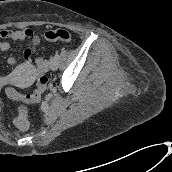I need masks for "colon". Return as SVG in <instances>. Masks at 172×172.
<instances>
[{
  "instance_id": "colon-1",
  "label": "colon",
  "mask_w": 172,
  "mask_h": 172,
  "mask_svg": "<svg viewBox=\"0 0 172 172\" xmlns=\"http://www.w3.org/2000/svg\"><path fill=\"white\" fill-rule=\"evenodd\" d=\"M44 37L48 41L60 40L68 42L71 40L70 32L62 28L46 31L44 33ZM36 65L39 70V75L36 81V89L33 93L24 95L14 88L8 87L6 89V93L11 99L22 102L15 109L14 122L16 123L18 128L23 131L29 128V120L27 115L30 109L28 104L36 103L40 100L48 82V78L44 74L45 61L42 58H38L36 59Z\"/></svg>"
}]
</instances>
